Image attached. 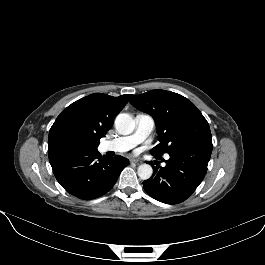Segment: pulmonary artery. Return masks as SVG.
<instances>
[{
    "label": "pulmonary artery",
    "instance_id": "1",
    "mask_svg": "<svg viewBox=\"0 0 265 265\" xmlns=\"http://www.w3.org/2000/svg\"><path fill=\"white\" fill-rule=\"evenodd\" d=\"M155 122L152 116L140 114L136 117L135 131L128 136L119 137L102 144L103 151L125 152L136 146L138 143L146 139L153 131ZM169 159V155H165Z\"/></svg>",
    "mask_w": 265,
    "mask_h": 265
}]
</instances>
